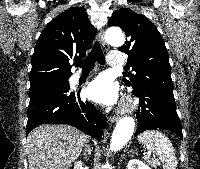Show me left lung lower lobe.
Instances as JSON below:
<instances>
[{
    "label": "left lung lower lobe",
    "instance_id": "0a47b994",
    "mask_svg": "<svg viewBox=\"0 0 200 169\" xmlns=\"http://www.w3.org/2000/svg\"><path fill=\"white\" fill-rule=\"evenodd\" d=\"M134 95L140 99L141 106L137 113L138 125L135 135L145 130L165 129L183 138L173 91L146 87Z\"/></svg>",
    "mask_w": 200,
    "mask_h": 169
}]
</instances>
